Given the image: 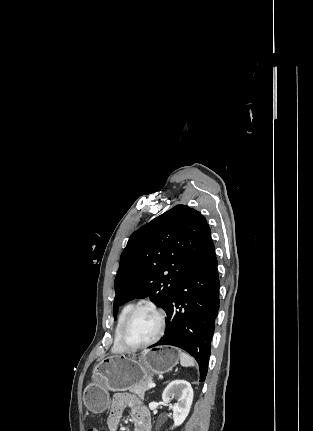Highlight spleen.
<instances>
[{
  "instance_id": "3e777b00",
  "label": "spleen",
  "mask_w": 313,
  "mask_h": 431,
  "mask_svg": "<svg viewBox=\"0 0 313 431\" xmlns=\"http://www.w3.org/2000/svg\"><path fill=\"white\" fill-rule=\"evenodd\" d=\"M180 363L183 367H193L195 366L194 359L187 353L181 352L180 353Z\"/></svg>"
}]
</instances>
